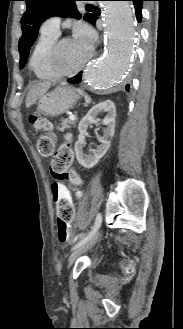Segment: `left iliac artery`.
Here are the masks:
<instances>
[{"label":"left iliac artery","instance_id":"1","mask_svg":"<svg viewBox=\"0 0 183 329\" xmlns=\"http://www.w3.org/2000/svg\"><path fill=\"white\" fill-rule=\"evenodd\" d=\"M101 222H102V216H101L100 213H97L96 219H95V223H94V226H93L92 230L90 231V233L83 240H81L74 247V249L78 248L79 246H81L82 244H84L85 242H87L94 235V233L97 231V229L100 227Z\"/></svg>","mask_w":183,"mask_h":329}]
</instances>
